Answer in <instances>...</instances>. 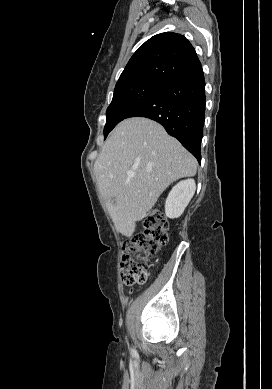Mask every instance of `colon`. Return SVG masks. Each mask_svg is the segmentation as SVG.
Listing matches in <instances>:
<instances>
[{"label": "colon", "instance_id": "colon-1", "mask_svg": "<svg viewBox=\"0 0 272 389\" xmlns=\"http://www.w3.org/2000/svg\"><path fill=\"white\" fill-rule=\"evenodd\" d=\"M143 228L141 233L124 243L120 278L126 286L146 283L149 277L147 258L155 255L168 240V222L158 210L145 216Z\"/></svg>", "mask_w": 272, "mask_h": 389}]
</instances>
